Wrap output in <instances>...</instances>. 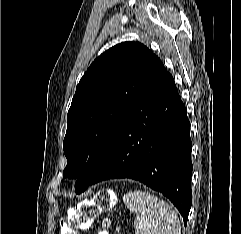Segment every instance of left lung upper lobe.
Segmentation results:
<instances>
[{
    "instance_id": "1",
    "label": "left lung upper lobe",
    "mask_w": 241,
    "mask_h": 234,
    "mask_svg": "<svg viewBox=\"0 0 241 234\" xmlns=\"http://www.w3.org/2000/svg\"><path fill=\"white\" fill-rule=\"evenodd\" d=\"M161 64L145 45L123 42L96 58L81 78L63 141V177L77 178V194L90 185L127 114Z\"/></svg>"
}]
</instances>
